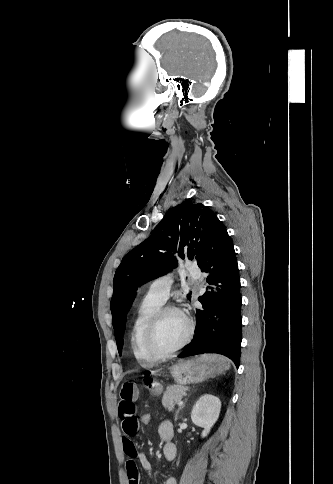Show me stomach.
<instances>
[{"label":"stomach","mask_w":333,"mask_h":484,"mask_svg":"<svg viewBox=\"0 0 333 484\" xmlns=\"http://www.w3.org/2000/svg\"><path fill=\"white\" fill-rule=\"evenodd\" d=\"M229 367V361L218 355H202L181 360L169 368V372L178 385L195 384L221 374ZM158 371H150L145 379V386L154 394L162 392V385L155 379Z\"/></svg>","instance_id":"stomach-1"}]
</instances>
